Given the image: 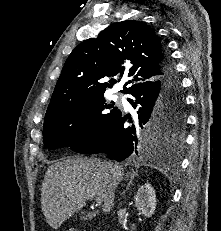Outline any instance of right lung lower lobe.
<instances>
[{
    "mask_svg": "<svg viewBox=\"0 0 221 231\" xmlns=\"http://www.w3.org/2000/svg\"><path fill=\"white\" fill-rule=\"evenodd\" d=\"M161 68L163 74L159 81L130 93L135 100L128 99V101L133 108L136 106L139 108L136 127L127 126L126 122H132V118L122 115L119 111L103 131L72 150L83 154L106 152L110 159L116 161H122L131 154L149 157L161 153L165 142L148 130L159 100L162 97H168L185 104L174 63L165 49Z\"/></svg>",
    "mask_w": 221,
    "mask_h": 231,
    "instance_id": "1",
    "label": "right lung lower lobe"
}]
</instances>
